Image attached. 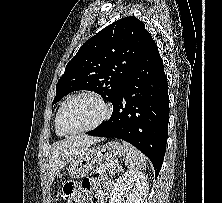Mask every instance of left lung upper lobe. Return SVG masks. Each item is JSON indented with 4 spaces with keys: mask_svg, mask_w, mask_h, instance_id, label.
<instances>
[{
    "mask_svg": "<svg viewBox=\"0 0 222 203\" xmlns=\"http://www.w3.org/2000/svg\"><path fill=\"white\" fill-rule=\"evenodd\" d=\"M134 16L117 20L87 40L67 64L53 103L76 90H90L113 102L150 39Z\"/></svg>",
    "mask_w": 222,
    "mask_h": 203,
    "instance_id": "5c2ea615",
    "label": "left lung upper lobe"
}]
</instances>
